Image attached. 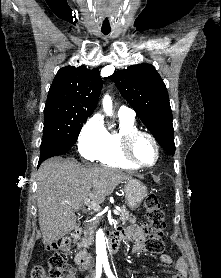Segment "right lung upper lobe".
<instances>
[{"label":"right lung upper lobe","mask_w":221,"mask_h":278,"mask_svg":"<svg viewBox=\"0 0 221 278\" xmlns=\"http://www.w3.org/2000/svg\"><path fill=\"white\" fill-rule=\"evenodd\" d=\"M98 69L66 66L56 74L49 89L44 114L60 113L69 117L90 116L102 89Z\"/></svg>","instance_id":"obj_1"}]
</instances>
